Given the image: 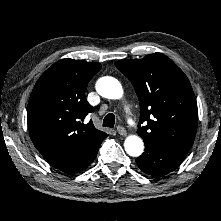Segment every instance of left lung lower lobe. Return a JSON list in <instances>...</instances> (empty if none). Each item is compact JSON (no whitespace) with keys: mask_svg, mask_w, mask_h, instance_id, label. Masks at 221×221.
Returning <instances> with one entry per match:
<instances>
[{"mask_svg":"<svg viewBox=\"0 0 221 221\" xmlns=\"http://www.w3.org/2000/svg\"><path fill=\"white\" fill-rule=\"evenodd\" d=\"M145 152L136 159L138 167L146 174L160 177L175 170L187 153L167 148L163 145L144 142Z\"/></svg>","mask_w":221,"mask_h":221,"instance_id":"0a47b994","label":"left lung lower lobe"}]
</instances>
